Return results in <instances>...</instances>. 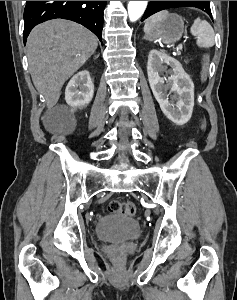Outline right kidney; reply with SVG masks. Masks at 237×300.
<instances>
[{
    "mask_svg": "<svg viewBox=\"0 0 237 300\" xmlns=\"http://www.w3.org/2000/svg\"><path fill=\"white\" fill-rule=\"evenodd\" d=\"M94 85L89 71H80L69 81L65 91V101L72 111L88 105L93 99Z\"/></svg>",
    "mask_w": 237,
    "mask_h": 300,
    "instance_id": "right-kidney-1",
    "label": "right kidney"
}]
</instances>
